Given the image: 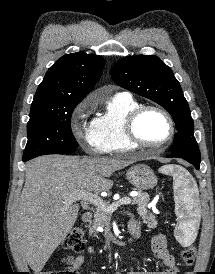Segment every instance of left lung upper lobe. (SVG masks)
I'll return each instance as SVG.
<instances>
[{"label":"left lung upper lobe","mask_w":215,"mask_h":274,"mask_svg":"<svg viewBox=\"0 0 215 274\" xmlns=\"http://www.w3.org/2000/svg\"><path fill=\"white\" fill-rule=\"evenodd\" d=\"M110 74L119 86L157 102L171 114L177 128L172 154L201 159L188 103L172 70L160 58L127 56L113 65Z\"/></svg>","instance_id":"5c2ea615"}]
</instances>
